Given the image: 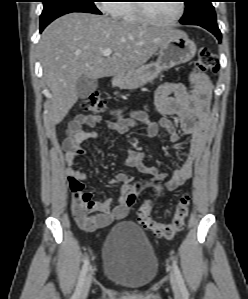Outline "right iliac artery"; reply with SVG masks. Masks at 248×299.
Wrapping results in <instances>:
<instances>
[{
  "instance_id": "obj_1",
  "label": "right iliac artery",
  "mask_w": 248,
  "mask_h": 299,
  "mask_svg": "<svg viewBox=\"0 0 248 299\" xmlns=\"http://www.w3.org/2000/svg\"><path fill=\"white\" fill-rule=\"evenodd\" d=\"M88 266H89V260L87 258L84 261V264L82 266V269H81V272H80V275H79V279H78V283H77V286H76V290H75L74 295H73V299H79L81 289H82V286H83V283H84V280H85V277H86V273L88 271Z\"/></svg>"
}]
</instances>
